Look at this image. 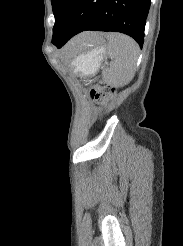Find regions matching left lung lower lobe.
Wrapping results in <instances>:
<instances>
[{"label":"left lung lower lobe","mask_w":183,"mask_h":246,"mask_svg":"<svg viewBox=\"0 0 183 246\" xmlns=\"http://www.w3.org/2000/svg\"><path fill=\"white\" fill-rule=\"evenodd\" d=\"M150 0H77L52 43L61 48L74 35L85 31H114L133 37L140 47Z\"/></svg>","instance_id":"0a47b994"}]
</instances>
